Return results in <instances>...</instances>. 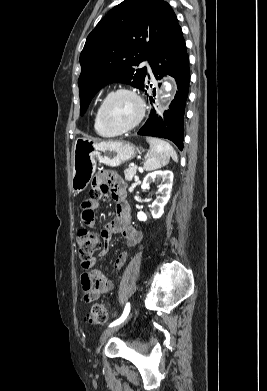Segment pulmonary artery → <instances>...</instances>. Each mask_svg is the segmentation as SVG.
<instances>
[{"instance_id":"1","label":"pulmonary artery","mask_w":267,"mask_h":391,"mask_svg":"<svg viewBox=\"0 0 267 391\" xmlns=\"http://www.w3.org/2000/svg\"><path fill=\"white\" fill-rule=\"evenodd\" d=\"M143 66L147 67V70H148V73L151 74L152 73V70H151V66H150V63L148 61H144L142 63Z\"/></svg>"}]
</instances>
